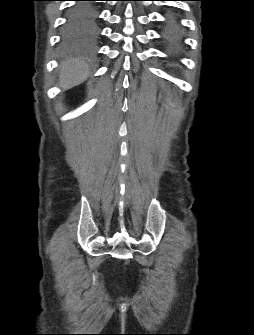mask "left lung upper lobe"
Masks as SVG:
<instances>
[{"label":"left lung upper lobe","instance_id":"1","mask_svg":"<svg viewBox=\"0 0 254 335\" xmlns=\"http://www.w3.org/2000/svg\"><path fill=\"white\" fill-rule=\"evenodd\" d=\"M170 26L172 27V28H175L176 26H177V23H176V19H175V17H171V19H170Z\"/></svg>","mask_w":254,"mask_h":335}]
</instances>
